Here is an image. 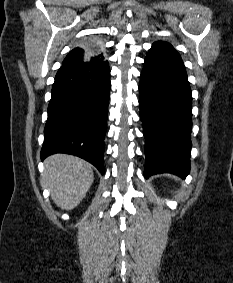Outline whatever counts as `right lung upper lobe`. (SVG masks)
I'll return each instance as SVG.
<instances>
[{
	"instance_id": "obj_1",
	"label": "right lung upper lobe",
	"mask_w": 233,
	"mask_h": 283,
	"mask_svg": "<svg viewBox=\"0 0 233 283\" xmlns=\"http://www.w3.org/2000/svg\"><path fill=\"white\" fill-rule=\"evenodd\" d=\"M103 54H113V49H104V44L91 41L89 44H78L69 52L63 61V65L80 63L85 61L99 62L103 60Z\"/></svg>"
}]
</instances>
